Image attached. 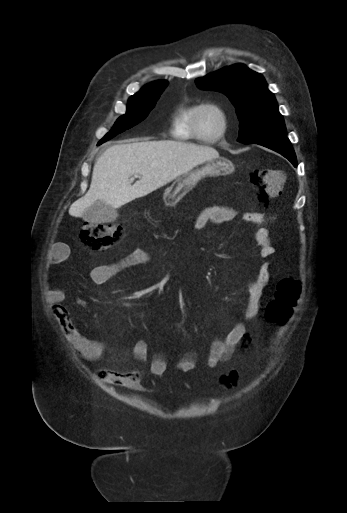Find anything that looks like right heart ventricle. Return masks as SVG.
<instances>
[{"mask_svg": "<svg viewBox=\"0 0 347 513\" xmlns=\"http://www.w3.org/2000/svg\"><path fill=\"white\" fill-rule=\"evenodd\" d=\"M199 105V103L184 104L175 112L171 126V134L176 140L206 142L192 130L193 117Z\"/></svg>", "mask_w": 347, "mask_h": 513, "instance_id": "obj_1", "label": "right heart ventricle"}]
</instances>
